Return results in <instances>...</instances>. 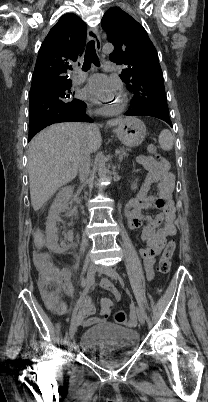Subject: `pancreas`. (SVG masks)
Here are the masks:
<instances>
[{
	"mask_svg": "<svg viewBox=\"0 0 208 402\" xmlns=\"http://www.w3.org/2000/svg\"><path fill=\"white\" fill-rule=\"evenodd\" d=\"M127 148H122V150H120V154H122V156H127Z\"/></svg>",
	"mask_w": 208,
	"mask_h": 402,
	"instance_id": "pancreas-1",
	"label": "pancreas"
}]
</instances>
